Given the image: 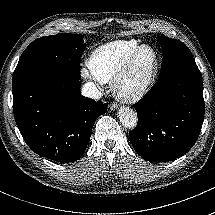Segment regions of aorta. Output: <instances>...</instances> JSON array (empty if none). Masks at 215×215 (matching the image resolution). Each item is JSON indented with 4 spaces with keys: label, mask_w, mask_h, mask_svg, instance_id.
<instances>
[{
    "label": "aorta",
    "mask_w": 215,
    "mask_h": 215,
    "mask_svg": "<svg viewBox=\"0 0 215 215\" xmlns=\"http://www.w3.org/2000/svg\"><path fill=\"white\" fill-rule=\"evenodd\" d=\"M118 116H119L120 123L125 128L132 129L136 127L137 121H138L137 113L131 108L121 107L119 109Z\"/></svg>",
    "instance_id": "1"
}]
</instances>
